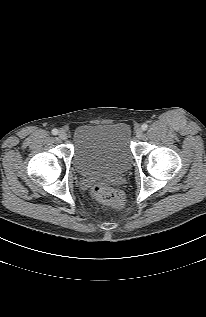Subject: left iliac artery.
Instances as JSON below:
<instances>
[{"label":"left iliac artery","instance_id":"44dca946","mask_svg":"<svg viewBox=\"0 0 206 317\" xmlns=\"http://www.w3.org/2000/svg\"><path fill=\"white\" fill-rule=\"evenodd\" d=\"M141 127H142V130H144V131H145V130H147L148 125H147V124H143Z\"/></svg>","mask_w":206,"mask_h":317}]
</instances>
